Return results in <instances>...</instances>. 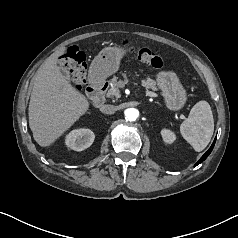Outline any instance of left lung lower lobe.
<instances>
[{
  "label": "left lung lower lobe",
  "mask_w": 238,
  "mask_h": 238,
  "mask_svg": "<svg viewBox=\"0 0 238 238\" xmlns=\"http://www.w3.org/2000/svg\"><path fill=\"white\" fill-rule=\"evenodd\" d=\"M216 139L214 140L213 144L211 145V147L209 148V150L201 157V159L196 163L195 166H197L198 164L202 163L211 153V151L213 150L214 144H215Z\"/></svg>",
  "instance_id": "obj_1"
}]
</instances>
